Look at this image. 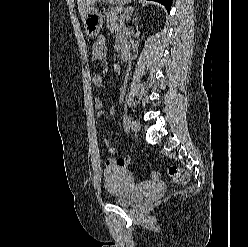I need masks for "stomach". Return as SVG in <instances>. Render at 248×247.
<instances>
[{"label":"stomach","instance_id":"obj_1","mask_svg":"<svg viewBox=\"0 0 248 247\" xmlns=\"http://www.w3.org/2000/svg\"><path fill=\"white\" fill-rule=\"evenodd\" d=\"M133 0H103L104 3L126 5ZM85 33L88 37H95L100 32L103 25V15L93 6H89L83 18Z\"/></svg>","mask_w":248,"mask_h":247}]
</instances>
